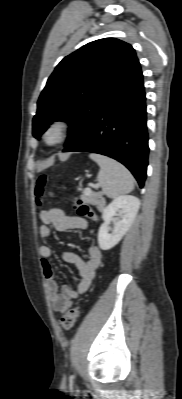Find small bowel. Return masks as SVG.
<instances>
[{"label": "small bowel", "mask_w": 182, "mask_h": 399, "mask_svg": "<svg viewBox=\"0 0 182 399\" xmlns=\"http://www.w3.org/2000/svg\"><path fill=\"white\" fill-rule=\"evenodd\" d=\"M39 217L42 224L38 228V237L41 239L52 238L51 227L63 232L85 229L88 225L86 219L66 215L61 208L56 206L42 211ZM39 255L41 257V268L45 278L47 296L53 309L58 313L66 311L72 305L73 300L89 288L102 259L101 251L96 245L88 246L86 259H82L72 252L63 253V260L74 264L77 268L79 283L77 288L73 289L65 284L59 285L54 267L50 262L52 256L51 247L41 245L39 247Z\"/></svg>", "instance_id": "small-bowel-1"}]
</instances>
